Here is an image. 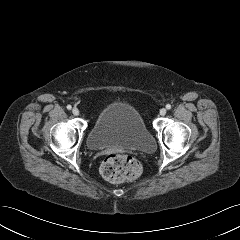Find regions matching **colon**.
Masks as SVG:
<instances>
[{"mask_svg": "<svg viewBox=\"0 0 240 240\" xmlns=\"http://www.w3.org/2000/svg\"><path fill=\"white\" fill-rule=\"evenodd\" d=\"M102 176L112 182H128L135 180L141 172L138 161L128 155L109 154L101 164Z\"/></svg>", "mask_w": 240, "mask_h": 240, "instance_id": "colon-1", "label": "colon"}]
</instances>
